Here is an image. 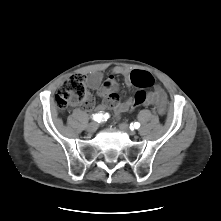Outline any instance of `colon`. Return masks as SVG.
Wrapping results in <instances>:
<instances>
[{"label": "colon", "instance_id": "colon-1", "mask_svg": "<svg viewBox=\"0 0 221 221\" xmlns=\"http://www.w3.org/2000/svg\"><path fill=\"white\" fill-rule=\"evenodd\" d=\"M131 79L137 87L142 88L134 96L135 105H142L147 98V93L143 88L151 87L154 79L151 75L139 71L132 72ZM89 94L84 76L78 74L72 75L63 82L56 93L57 107L62 112L77 104H84L86 107H91L93 100Z\"/></svg>", "mask_w": 221, "mask_h": 221}]
</instances>
